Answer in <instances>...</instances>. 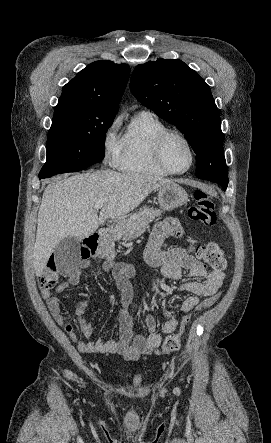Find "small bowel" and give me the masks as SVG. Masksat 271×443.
<instances>
[{"label":"small bowel","mask_w":271,"mask_h":443,"mask_svg":"<svg viewBox=\"0 0 271 443\" xmlns=\"http://www.w3.org/2000/svg\"><path fill=\"white\" fill-rule=\"evenodd\" d=\"M182 233L178 220L167 218L160 221L148 240L145 260L153 266H160L163 276L171 280H179L185 272L187 273L190 280L176 288L189 293L179 307L181 312L187 313L197 306L200 297L211 296L217 292L223 283L225 274L215 270H207L204 264L186 248L162 249V244L166 238L180 237ZM88 267L89 263L83 261L78 269L56 287V293H62L70 287L77 286L80 282L82 270ZM102 268L112 274L117 286L123 292V303L129 305L132 297L129 280L135 275L133 266L108 259L103 263ZM41 294L52 317L77 343L78 350L82 353L120 354L128 360H137L140 356L149 354L158 348L163 335L173 333L178 327V320L173 317L163 325L162 331L158 332L154 317L147 313L145 316L147 334H137L133 329L132 318L124 310L119 315V335L117 338L93 340V326L83 318V313L89 301L83 300L76 309V316L82 333V338H80L75 333L72 323L63 315L59 298L53 295L50 290L42 291Z\"/></svg>","instance_id":"1"}]
</instances>
